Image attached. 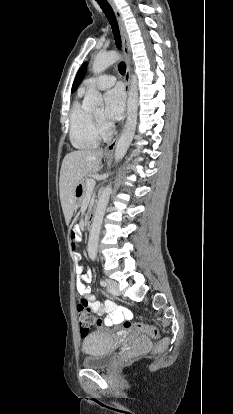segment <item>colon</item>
I'll return each instance as SVG.
<instances>
[{"mask_svg": "<svg viewBox=\"0 0 233 414\" xmlns=\"http://www.w3.org/2000/svg\"><path fill=\"white\" fill-rule=\"evenodd\" d=\"M78 229L75 224H71L68 228V241L72 252L78 251L80 236L78 235ZM77 315L80 327V334L82 337L86 336L88 332L96 327L99 330H107L103 327L100 319H96L93 314L89 302L83 296H80L77 304ZM123 330H134L143 333L151 338H159V330L148 324L142 322H131L126 320L122 324Z\"/></svg>", "mask_w": 233, "mask_h": 414, "instance_id": "5ec220e1", "label": "colon"}]
</instances>
